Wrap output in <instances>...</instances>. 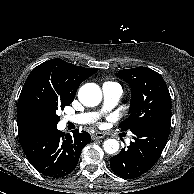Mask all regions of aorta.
<instances>
[{
	"label": "aorta",
	"mask_w": 194,
	"mask_h": 194,
	"mask_svg": "<svg viewBox=\"0 0 194 194\" xmlns=\"http://www.w3.org/2000/svg\"><path fill=\"white\" fill-rule=\"evenodd\" d=\"M79 101L88 107L97 106L101 102L102 92L97 84L87 83L78 92ZM104 151L114 154L119 150V142L116 139H108L103 143Z\"/></svg>",
	"instance_id": "762f6f07"
}]
</instances>
